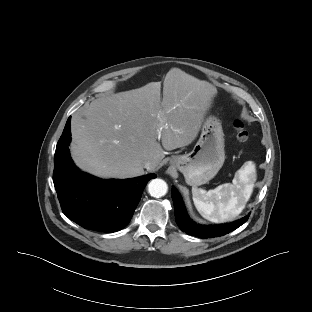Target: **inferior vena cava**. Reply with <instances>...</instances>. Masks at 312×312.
Segmentation results:
<instances>
[{
  "mask_svg": "<svg viewBox=\"0 0 312 312\" xmlns=\"http://www.w3.org/2000/svg\"><path fill=\"white\" fill-rule=\"evenodd\" d=\"M144 168H146L149 171L154 170L156 168V163L151 160H147L144 162Z\"/></svg>",
  "mask_w": 312,
  "mask_h": 312,
  "instance_id": "obj_1",
  "label": "inferior vena cava"
}]
</instances>
